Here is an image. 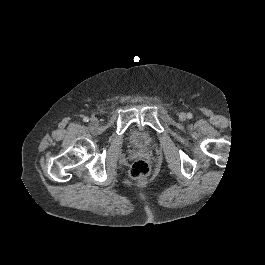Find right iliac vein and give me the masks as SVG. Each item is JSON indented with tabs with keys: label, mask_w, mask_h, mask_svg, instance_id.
Wrapping results in <instances>:
<instances>
[{
	"label": "right iliac vein",
	"mask_w": 265,
	"mask_h": 265,
	"mask_svg": "<svg viewBox=\"0 0 265 265\" xmlns=\"http://www.w3.org/2000/svg\"><path fill=\"white\" fill-rule=\"evenodd\" d=\"M90 123H91V125H96L98 123V119L96 117H91Z\"/></svg>",
	"instance_id": "obj_1"
}]
</instances>
